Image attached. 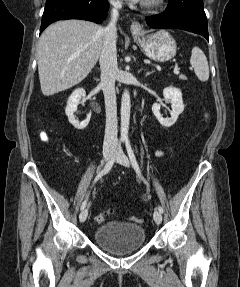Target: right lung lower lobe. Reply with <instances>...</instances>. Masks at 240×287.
<instances>
[{
    "label": "right lung lower lobe",
    "mask_w": 240,
    "mask_h": 287,
    "mask_svg": "<svg viewBox=\"0 0 240 287\" xmlns=\"http://www.w3.org/2000/svg\"><path fill=\"white\" fill-rule=\"evenodd\" d=\"M107 0H46L40 33L51 23L63 19H83L102 23Z\"/></svg>",
    "instance_id": "obj_1"
}]
</instances>
